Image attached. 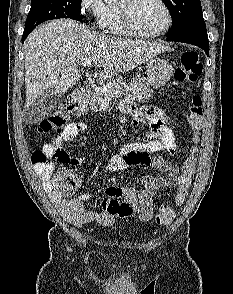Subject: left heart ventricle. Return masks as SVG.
<instances>
[{
  "label": "left heart ventricle",
  "instance_id": "b2bd125f",
  "mask_svg": "<svg viewBox=\"0 0 233 294\" xmlns=\"http://www.w3.org/2000/svg\"><path fill=\"white\" fill-rule=\"evenodd\" d=\"M133 22L137 29L154 33L166 24V14L156 0H137L132 7Z\"/></svg>",
  "mask_w": 233,
  "mask_h": 294
}]
</instances>
